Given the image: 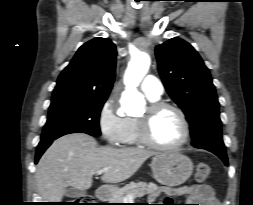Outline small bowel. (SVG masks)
Returning <instances> with one entry per match:
<instances>
[{
	"mask_svg": "<svg viewBox=\"0 0 253 205\" xmlns=\"http://www.w3.org/2000/svg\"><path fill=\"white\" fill-rule=\"evenodd\" d=\"M164 193L169 196H187L193 205H218L213 190L208 185H191L178 189L165 188ZM169 205V204H167Z\"/></svg>",
	"mask_w": 253,
	"mask_h": 205,
	"instance_id": "c3829d8e",
	"label": "small bowel"
}]
</instances>
